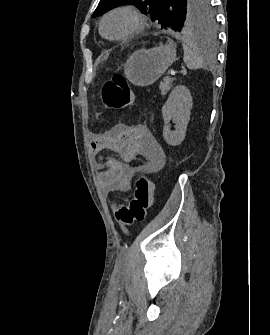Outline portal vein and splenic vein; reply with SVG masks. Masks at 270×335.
<instances>
[{
  "mask_svg": "<svg viewBox=\"0 0 270 335\" xmlns=\"http://www.w3.org/2000/svg\"><path fill=\"white\" fill-rule=\"evenodd\" d=\"M174 74H176V72H170L169 74H168V77H171V76H174Z\"/></svg>",
  "mask_w": 270,
  "mask_h": 335,
  "instance_id": "18ae733b",
  "label": "portal vein and splenic vein"
}]
</instances>
